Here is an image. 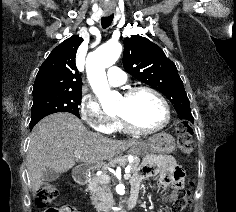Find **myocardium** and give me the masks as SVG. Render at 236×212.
Here are the masks:
<instances>
[{
    "instance_id": "myocardium-1",
    "label": "myocardium",
    "mask_w": 236,
    "mask_h": 212,
    "mask_svg": "<svg viewBox=\"0 0 236 212\" xmlns=\"http://www.w3.org/2000/svg\"><path fill=\"white\" fill-rule=\"evenodd\" d=\"M139 92H149V93L153 94L154 96H156L161 101V103L164 106L165 113H166V117H165V120L163 121V123L155 128L145 129V128H141V127H138L137 125H135L127 116H125L123 114H117L116 118L118 119V121L120 122L122 127L127 132H130L133 134L146 135V134H152V133H156V132L163 130L165 127H167L169 125V123L171 121V117H172L171 108H170L168 101L162 95L161 92H159L157 89L147 86V85H136V86L129 87L128 89H126L124 91L123 97L126 99H130Z\"/></svg>"
}]
</instances>
